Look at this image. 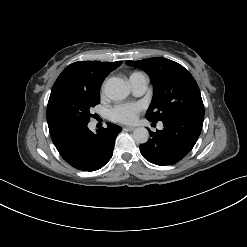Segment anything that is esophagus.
Here are the masks:
<instances>
[{
	"label": "esophagus",
	"instance_id": "esophagus-1",
	"mask_svg": "<svg viewBox=\"0 0 247 247\" xmlns=\"http://www.w3.org/2000/svg\"><path fill=\"white\" fill-rule=\"evenodd\" d=\"M123 129L127 130V131H133V130H135V127H133V126H125Z\"/></svg>",
	"mask_w": 247,
	"mask_h": 247
}]
</instances>
